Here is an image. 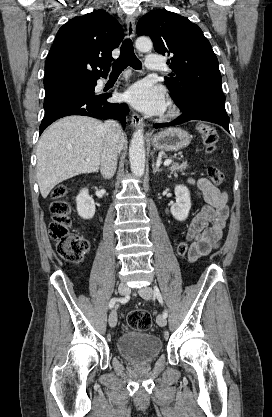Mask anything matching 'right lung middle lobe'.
I'll return each mask as SVG.
<instances>
[{
  "instance_id": "dd1d6c3e",
  "label": "right lung middle lobe",
  "mask_w": 272,
  "mask_h": 417,
  "mask_svg": "<svg viewBox=\"0 0 272 417\" xmlns=\"http://www.w3.org/2000/svg\"><path fill=\"white\" fill-rule=\"evenodd\" d=\"M77 89H85V84H71L59 86L56 88L45 89V101L52 98L56 94Z\"/></svg>"
}]
</instances>
